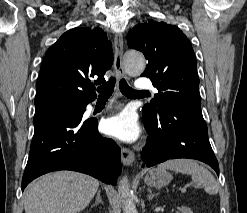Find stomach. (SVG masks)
Listing matches in <instances>:
<instances>
[{
    "mask_svg": "<svg viewBox=\"0 0 247 213\" xmlns=\"http://www.w3.org/2000/svg\"><path fill=\"white\" fill-rule=\"evenodd\" d=\"M171 180L172 175L169 172L158 168L150 169L144 178L145 184L150 187H163Z\"/></svg>",
    "mask_w": 247,
    "mask_h": 213,
    "instance_id": "stomach-1",
    "label": "stomach"
}]
</instances>
